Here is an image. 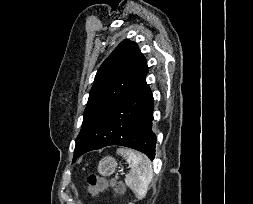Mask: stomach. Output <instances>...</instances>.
Wrapping results in <instances>:
<instances>
[{"label":"stomach","mask_w":253,"mask_h":204,"mask_svg":"<svg viewBox=\"0 0 253 204\" xmlns=\"http://www.w3.org/2000/svg\"><path fill=\"white\" fill-rule=\"evenodd\" d=\"M117 168V162L112 157L103 158L98 164V173L102 176H111Z\"/></svg>","instance_id":"stomach-1"}]
</instances>
